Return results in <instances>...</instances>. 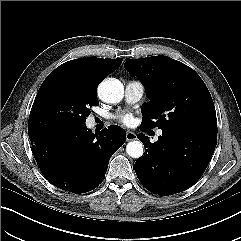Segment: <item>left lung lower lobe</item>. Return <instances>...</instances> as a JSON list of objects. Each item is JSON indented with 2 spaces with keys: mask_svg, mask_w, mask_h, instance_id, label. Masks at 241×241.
Returning a JSON list of instances; mask_svg holds the SVG:
<instances>
[{
  "mask_svg": "<svg viewBox=\"0 0 241 241\" xmlns=\"http://www.w3.org/2000/svg\"><path fill=\"white\" fill-rule=\"evenodd\" d=\"M138 138L146 152L136 161L135 172L147 190L161 196L194 185L208 166L217 143L216 134L180 128L163 129L154 144L144 134Z\"/></svg>",
  "mask_w": 241,
  "mask_h": 241,
  "instance_id": "0a47b994",
  "label": "left lung lower lobe"
}]
</instances>
